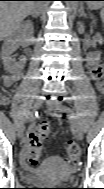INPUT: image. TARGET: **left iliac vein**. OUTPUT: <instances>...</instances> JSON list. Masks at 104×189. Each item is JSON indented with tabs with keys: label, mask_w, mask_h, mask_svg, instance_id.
<instances>
[{
	"label": "left iliac vein",
	"mask_w": 104,
	"mask_h": 189,
	"mask_svg": "<svg viewBox=\"0 0 104 189\" xmlns=\"http://www.w3.org/2000/svg\"><path fill=\"white\" fill-rule=\"evenodd\" d=\"M56 105L67 114L71 122V125L73 129L75 130V136L77 140H82L83 139L82 127L75 112L60 101H56Z\"/></svg>",
	"instance_id": "1"
}]
</instances>
